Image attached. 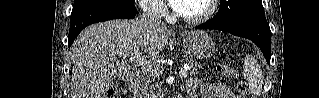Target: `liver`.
Listing matches in <instances>:
<instances>
[{"label": "liver", "instance_id": "liver-1", "mask_svg": "<svg viewBox=\"0 0 319 98\" xmlns=\"http://www.w3.org/2000/svg\"><path fill=\"white\" fill-rule=\"evenodd\" d=\"M175 33L140 19L111 20L87 27L74 41L71 98H102L117 73L118 51L143 49L155 57Z\"/></svg>", "mask_w": 319, "mask_h": 98}]
</instances>
